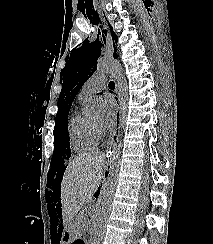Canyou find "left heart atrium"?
<instances>
[{
  "instance_id": "left-heart-atrium-1",
  "label": "left heart atrium",
  "mask_w": 213,
  "mask_h": 244,
  "mask_svg": "<svg viewBox=\"0 0 213 244\" xmlns=\"http://www.w3.org/2000/svg\"><path fill=\"white\" fill-rule=\"evenodd\" d=\"M105 115L102 122L104 129H111L116 120L117 104L112 97H107L104 101Z\"/></svg>"
}]
</instances>
